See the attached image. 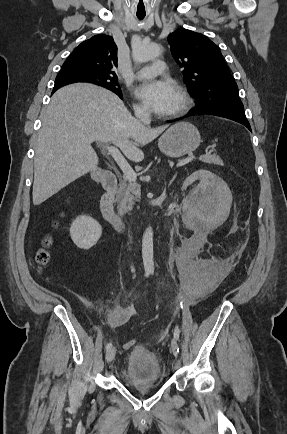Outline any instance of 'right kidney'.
I'll list each match as a JSON object with an SVG mask.
<instances>
[{
	"mask_svg": "<svg viewBox=\"0 0 287 434\" xmlns=\"http://www.w3.org/2000/svg\"><path fill=\"white\" fill-rule=\"evenodd\" d=\"M101 234V225L90 216L77 217L70 227V236L74 244L84 250L93 247Z\"/></svg>",
	"mask_w": 287,
	"mask_h": 434,
	"instance_id": "1",
	"label": "right kidney"
}]
</instances>
